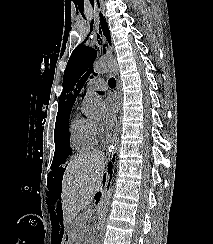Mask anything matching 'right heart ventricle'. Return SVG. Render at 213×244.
Segmentation results:
<instances>
[{
  "label": "right heart ventricle",
  "instance_id": "1",
  "mask_svg": "<svg viewBox=\"0 0 213 244\" xmlns=\"http://www.w3.org/2000/svg\"><path fill=\"white\" fill-rule=\"evenodd\" d=\"M94 121L76 115L72 119L69 127L70 141L72 147L77 151L94 149L98 145V134Z\"/></svg>",
  "mask_w": 213,
  "mask_h": 244
}]
</instances>
